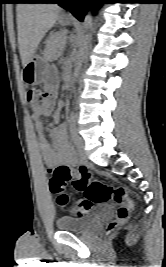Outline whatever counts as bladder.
Wrapping results in <instances>:
<instances>
[{"label":"bladder","instance_id":"obj_1","mask_svg":"<svg viewBox=\"0 0 166 267\" xmlns=\"http://www.w3.org/2000/svg\"><path fill=\"white\" fill-rule=\"evenodd\" d=\"M95 221V216H62L57 219L56 226L61 231L83 232L88 230Z\"/></svg>","mask_w":166,"mask_h":267}]
</instances>
